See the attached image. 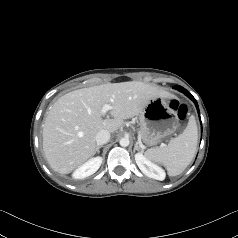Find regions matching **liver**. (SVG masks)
Returning <instances> with one entry per match:
<instances>
[{
  "label": "liver",
  "instance_id": "liver-1",
  "mask_svg": "<svg viewBox=\"0 0 238 238\" xmlns=\"http://www.w3.org/2000/svg\"><path fill=\"white\" fill-rule=\"evenodd\" d=\"M155 97H170L157 86L138 81L107 83L61 96L43 124L44 155L56 172L69 174L96 153V134L115 133L124 120L142 112ZM112 106L104 119L102 108Z\"/></svg>",
  "mask_w": 238,
  "mask_h": 238
}]
</instances>
